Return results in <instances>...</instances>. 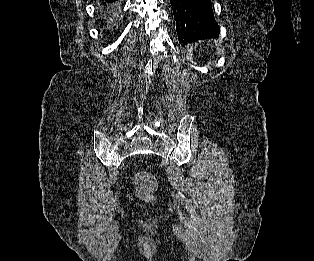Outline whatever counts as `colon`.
Masks as SVG:
<instances>
[{"label": "colon", "mask_w": 314, "mask_h": 261, "mask_svg": "<svg viewBox=\"0 0 314 261\" xmlns=\"http://www.w3.org/2000/svg\"><path fill=\"white\" fill-rule=\"evenodd\" d=\"M134 183L137 195L141 199L147 202L155 201L156 182L150 173L145 171L137 172L134 176Z\"/></svg>", "instance_id": "colon-1"}]
</instances>
